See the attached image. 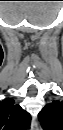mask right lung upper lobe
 Segmentation results:
<instances>
[{
  "instance_id": "cb5924a9",
  "label": "right lung upper lobe",
  "mask_w": 63,
  "mask_h": 130,
  "mask_svg": "<svg viewBox=\"0 0 63 130\" xmlns=\"http://www.w3.org/2000/svg\"><path fill=\"white\" fill-rule=\"evenodd\" d=\"M31 116L13 99L0 102V126L4 130H25L29 128Z\"/></svg>"
}]
</instances>
